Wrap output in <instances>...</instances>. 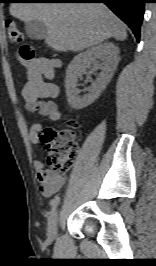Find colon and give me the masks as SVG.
<instances>
[{
	"label": "colon",
	"instance_id": "5ec220e1",
	"mask_svg": "<svg viewBox=\"0 0 156 266\" xmlns=\"http://www.w3.org/2000/svg\"><path fill=\"white\" fill-rule=\"evenodd\" d=\"M5 26L10 41L23 43V33L15 21L7 19ZM20 56L24 61H31L36 57V50L29 44H23ZM74 127L75 121L68 120L64 128L43 130L41 141L48 152L47 164L52 173L67 172L77 159L78 145L75 142Z\"/></svg>",
	"mask_w": 156,
	"mask_h": 266
}]
</instances>
